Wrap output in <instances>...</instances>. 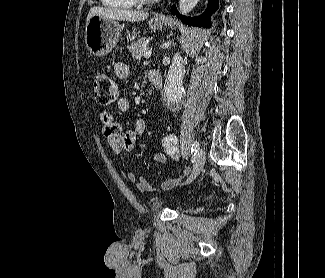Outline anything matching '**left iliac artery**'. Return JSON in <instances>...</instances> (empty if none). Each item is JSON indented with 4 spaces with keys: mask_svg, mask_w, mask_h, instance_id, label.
<instances>
[{
    "mask_svg": "<svg viewBox=\"0 0 325 278\" xmlns=\"http://www.w3.org/2000/svg\"><path fill=\"white\" fill-rule=\"evenodd\" d=\"M199 150V143L197 141H195L193 144H192V147H191V152L195 155Z\"/></svg>",
    "mask_w": 325,
    "mask_h": 278,
    "instance_id": "44dca946",
    "label": "left iliac artery"
}]
</instances>
